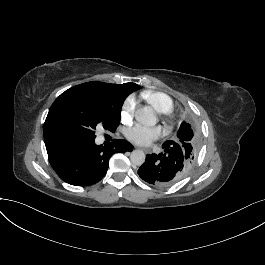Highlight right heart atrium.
I'll return each instance as SVG.
<instances>
[{"mask_svg": "<svg viewBox=\"0 0 265 265\" xmlns=\"http://www.w3.org/2000/svg\"><path fill=\"white\" fill-rule=\"evenodd\" d=\"M137 108V100L134 96H130L126 99L123 109H122V118L123 119H130Z\"/></svg>", "mask_w": 265, "mask_h": 265, "instance_id": "right-heart-atrium-1", "label": "right heart atrium"}]
</instances>
